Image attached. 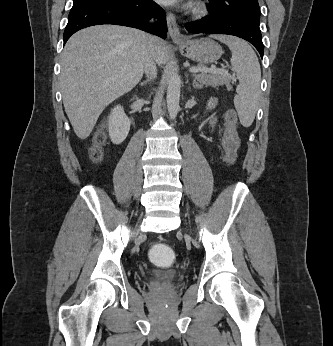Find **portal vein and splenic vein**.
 Segmentation results:
<instances>
[{
    "mask_svg": "<svg viewBox=\"0 0 333 346\" xmlns=\"http://www.w3.org/2000/svg\"><path fill=\"white\" fill-rule=\"evenodd\" d=\"M189 71L191 73H196V72H204V73H215V72H219V73H224V74H228V71L225 69H220V68H200V67H191L189 69Z\"/></svg>",
    "mask_w": 333,
    "mask_h": 346,
    "instance_id": "1",
    "label": "portal vein and splenic vein"
}]
</instances>
